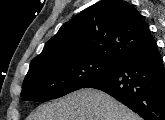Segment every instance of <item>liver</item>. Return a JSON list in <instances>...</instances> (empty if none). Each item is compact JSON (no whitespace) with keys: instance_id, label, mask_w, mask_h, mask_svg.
<instances>
[{"instance_id":"liver-1","label":"liver","mask_w":165,"mask_h":120,"mask_svg":"<svg viewBox=\"0 0 165 120\" xmlns=\"http://www.w3.org/2000/svg\"><path fill=\"white\" fill-rule=\"evenodd\" d=\"M28 120H141V118L102 91L81 89L39 106Z\"/></svg>"}]
</instances>
